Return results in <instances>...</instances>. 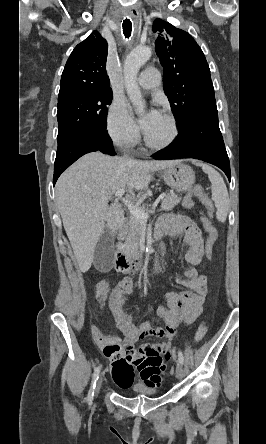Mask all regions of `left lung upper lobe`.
Wrapping results in <instances>:
<instances>
[{
	"instance_id": "1",
	"label": "left lung upper lobe",
	"mask_w": 266,
	"mask_h": 444,
	"mask_svg": "<svg viewBox=\"0 0 266 444\" xmlns=\"http://www.w3.org/2000/svg\"><path fill=\"white\" fill-rule=\"evenodd\" d=\"M158 36L156 53L163 70V85L178 125L195 112L216 108L213 83L206 58L193 37L162 19L153 23Z\"/></svg>"
}]
</instances>
